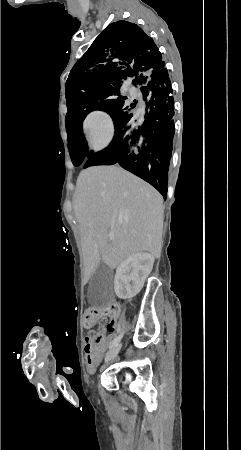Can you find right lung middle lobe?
I'll return each mask as SVG.
<instances>
[{"label":"right lung middle lobe","mask_w":241,"mask_h":450,"mask_svg":"<svg viewBox=\"0 0 241 450\" xmlns=\"http://www.w3.org/2000/svg\"><path fill=\"white\" fill-rule=\"evenodd\" d=\"M66 99L68 112L66 114V128L73 118L86 117L94 110L107 112L117 127L122 122L135 119V107L137 100L128 104L127 97L120 95V90L97 87L87 80L70 73L66 81ZM71 160L74 166H79L86 158L85 155L77 154L70 150Z\"/></svg>","instance_id":"dd1d6c3e"}]
</instances>
